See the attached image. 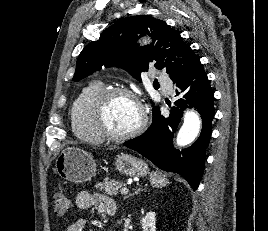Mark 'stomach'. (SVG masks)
I'll use <instances>...</instances> for the list:
<instances>
[{
	"label": "stomach",
	"mask_w": 268,
	"mask_h": 231,
	"mask_svg": "<svg viewBox=\"0 0 268 231\" xmlns=\"http://www.w3.org/2000/svg\"><path fill=\"white\" fill-rule=\"evenodd\" d=\"M116 170L125 176L143 177L149 172L141 159L121 153L115 159ZM57 174L66 181L84 183L96 175V163L87 151L71 146L62 150L55 162Z\"/></svg>",
	"instance_id": "1"
}]
</instances>
